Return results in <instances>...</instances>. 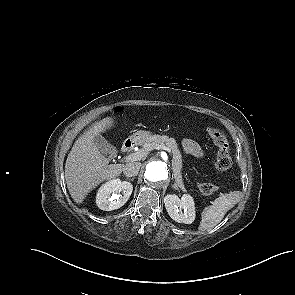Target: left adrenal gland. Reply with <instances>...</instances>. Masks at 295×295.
Wrapping results in <instances>:
<instances>
[{"label": "left adrenal gland", "mask_w": 295, "mask_h": 295, "mask_svg": "<svg viewBox=\"0 0 295 295\" xmlns=\"http://www.w3.org/2000/svg\"><path fill=\"white\" fill-rule=\"evenodd\" d=\"M172 187H173L174 189H176V190L179 189L178 186H177L176 184H173Z\"/></svg>", "instance_id": "a2214340"}]
</instances>
